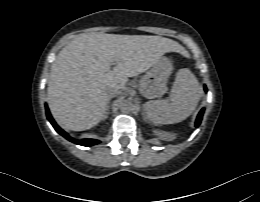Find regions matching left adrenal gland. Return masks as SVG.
<instances>
[{
	"mask_svg": "<svg viewBox=\"0 0 260 202\" xmlns=\"http://www.w3.org/2000/svg\"><path fill=\"white\" fill-rule=\"evenodd\" d=\"M142 114H143V118H144V120H146V121H147V120H148V118H147V116H146L145 112H143Z\"/></svg>",
	"mask_w": 260,
	"mask_h": 202,
	"instance_id": "a2214340",
	"label": "left adrenal gland"
}]
</instances>
